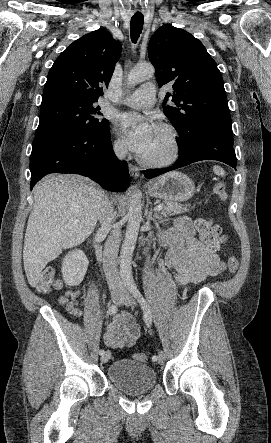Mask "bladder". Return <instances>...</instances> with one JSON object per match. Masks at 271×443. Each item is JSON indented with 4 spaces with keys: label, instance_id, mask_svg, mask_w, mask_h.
I'll return each instance as SVG.
<instances>
[{
    "label": "bladder",
    "instance_id": "31cf9c89",
    "mask_svg": "<svg viewBox=\"0 0 271 443\" xmlns=\"http://www.w3.org/2000/svg\"><path fill=\"white\" fill-rule=\"evenodd\" d=\"M110 382L120 391L136 395L151 391L157 383L155 370L131 359H118L107 370Z\"/></svg>",
    "mask_w": 271,
    "mask_h": 443
}]
</instances>
